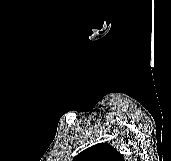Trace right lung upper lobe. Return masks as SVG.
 <instances>
[{"label": "right lung upper lobe", "mask_w": 171, "mask_h": 161, "mask_svg": "<svg viewBox=\"0 0 171 161\" xmlns=\"http://www.w3.org/2000/svg\"><path fill=\"white\" fill-rule=\"evenodd\" d=\"M73 161H125V159L110 144L99 143L82 151Z\"/></svg>", "instance_id": "1"}]
</instances>
